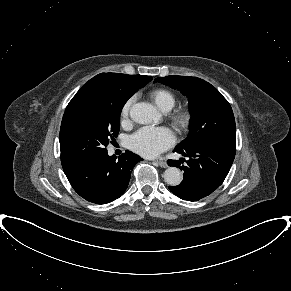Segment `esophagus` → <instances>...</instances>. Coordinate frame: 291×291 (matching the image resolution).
Masks as SVG:
<instances>
[{
	"mask_svg": "<svg viewBox=\"0 0 291 291\" xmlns=\"http://www.w3.org/2000/svg\"><path fill=\"white\" fill-rule=\"evenodd\" d=\"M153 163L162 167V168H166L168 166L165 161H161V160H155Z\"/></svg>",
	"mask_w": 291,
	"mask_h": 291,
	"instance_id": "esophagus-1",
	"label": "esophagus"
}]
</instances>
